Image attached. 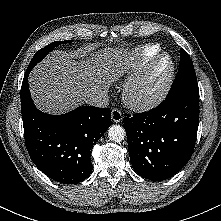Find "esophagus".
<instances>
[{"label":"esophagus","mask_w":221,"mask_h":221,"mask_svg":"<svg viewBox=\"0 0 221 221\" xmlns=\"http://www.w3.org/2000/svg\"><path fill=\"white\" fill-rule=\"evenodd\" d=\"M111 118L114 122L118 123V122L122 121L123 115H122L121 111H119L117 109H113L111 111Z\"/></svg>","instance_id":"obj_1"}]
</instances>
